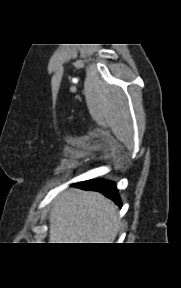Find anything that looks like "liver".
I'll list each match as a JSON object with an SVG mask.
<instances>
[{
	"label": "liver",
	"instance_id": "liver-1",
	"mask_svg": "<svg viewBox=\"0 0 181 288\" xmlns=\"http://www.w3.org/2000/svg\"><path fill=\"white\" fill-rule=\"evenodd\" d=\"M49 222L50 243H113L119 218L101 193L71 188L55 198Z\"/></svg>",
	"mask_w": 181,
	"mask_h": 288
}]
</instances>
